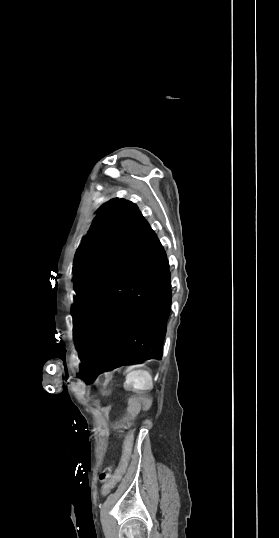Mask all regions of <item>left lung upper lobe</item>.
<instances>
[{
  "instance_id": "left-lung-upper-lobe-1",
  "label": "left lung upper lobe",
  "mask_w": 279,
  "mask_h": 538,
  "mask_svg": "<svg viewBox=\"0 0 279 538\" xmlns=\"http://www.w3.org/2000/svg\"><path fill=\"white\" fill-rule=\"evenodd\" d=\"M151 230L138 207L130 201L115 198L99 210L75 254L74 326Z\"/></svg>"
}]
</instances>
